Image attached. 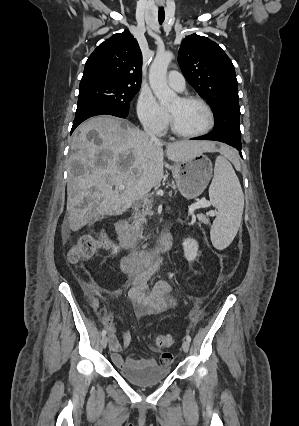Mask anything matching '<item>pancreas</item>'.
I'll list each match as a JSON object with an SVG mask.
<instances>
[{
	"label": "pancreas",
	"instance_id": "1",
	"mask_svg": "<svg viewBox=\"0 0 299 426\" xmlns=\"http://www.w3.org/2000/svg\"><path fill=\"white\" fill-rule=\"evenodd\" d=\"M147 215H152V211L150 210L149 207H147L146 209H143L141 212H137L134 216L133 228L135 230L137 237L139 238H142L141 234H142L143 225L147 224V220L145 218ZM198 219L201 223H205V224L208 223V220L204 216H199Z\"/></svg>",
	"mask_w": 299,
	"mask_h": 426
}]
</instances>
